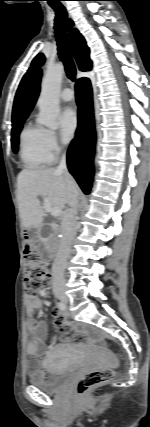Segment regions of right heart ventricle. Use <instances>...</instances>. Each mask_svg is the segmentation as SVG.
Listing matches in <instances>:
<instances>
[{
  "label": "right heart ventricle",
  "instance_id": "1",
  "mask_svg": "<svg viewBox=\"0 0 150 427\" xmlns=\"http://www.w3.org/2000/svg\"><path fill=\"white\" fill-rule=\"evenodd\" d=\"M45 130L33 123L26 124L19 134V157L28 169L43 168L51 162L44 144Z\"/></svg>",
  "mask_w": 150,
  "mask_h": 427
}]
</instances>
